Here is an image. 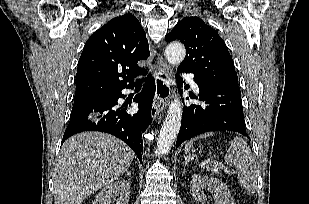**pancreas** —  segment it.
Instances as JSON below:
<instances>
[{"mask_svg":"<svg viewBox=\"0 0 309 204\" xmlns=\"http://www.w3.org/2000/svg\"><path fill=\"white\" fill-rule=\"evenodd\" d=\"M205 169L211 173H216V174H220V170L219 168H216L214 165L210 164L205 166Z\"/></svg>","mask_w":309,"mask_h":204,"instance_id":"obj_1","label":"pancreas"}]
</instances>
